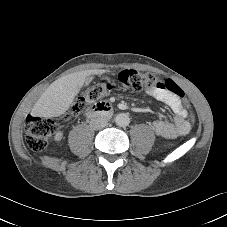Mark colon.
Here are the masks:
<instances>
[{
  "label": "colon",
  "mask_w": 227,
  "mask_h": 227,
  "mask_svg": "<svg viewBox=\"0 0 227 227\" xmlns=\"http://www.w3.org/2000/svg\"><path fill=\"white\" fill-rule=\"evenodd\" d=\"M157 82L164 84L167 90L174 93L186 104L183 90L174 81L170 79L160 80L158 76L151 73L122 70L118 74L116 82L110 79H103L84 91L68 111L67 116L78 114L100 98L109 95L115 89L116 84L139 91L155 89ZM192 121H194V116H192ZM56 131L57 125L54 121L29 116L25 123L26 143L31 150L42 151Z\"/></svg>",
  "instance_id": "1"
}]
</instances>
